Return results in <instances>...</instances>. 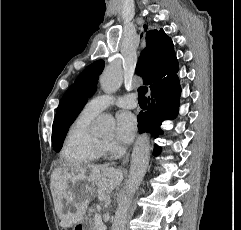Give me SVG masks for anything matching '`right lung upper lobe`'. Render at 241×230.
I'll return each instance as SVG.
<instances>
[{
  "instance_id": "right-lung-upper-lobe-1",
  "label": "right lung upper lobe",
  "mask_w": 241,
  "mask_h": 230,
  "mask_svg": "<svg viewBox=\"0 0 241 230\" xmlns=\"http://www.w3.org/2000/svg\"><path fill=\"white\" fill-rule=\"evenodd\" d=\"M145 30L147 26L144 25ZM147 47L141 52L136 73L143 77L144 84L152 88L178 68L174 45L161 29L147 32Z\"/></svg>"
}]
</instances>
